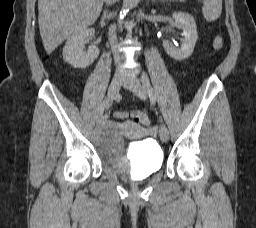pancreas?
Masks as SVG:
<instances>
[{"mask_svg":"<svg viewBox=\"0 0 256 228\" xmlns=\"http://www.w3.org/2000/svg\"><path fill=\"white\" fill-rule=\"evenodd\" d=\"M165 1H170V2H177V1H179V2H185L186 0H165Z\"/></svg>","mask_w":256,"mask_h":228,"instance_id":"cf45deb5","label":"pancreas"}]
</instances>
